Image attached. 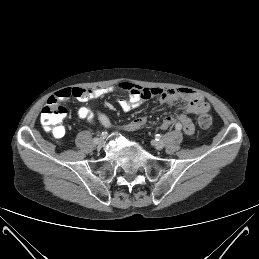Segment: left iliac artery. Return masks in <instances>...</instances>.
Returning <instances> with one entry per match:
<instances>
[{
	"label": "left iliac artery",
	"mask_w": 259,
	"mask_h": 259,
	"mask_svg": "<svg viewBox=\"0 0 259 259\" xmlns=\"http://www.w3.org/2000/svg\"><path fill=\"white\" fill-rule=\"evenodd\" d=\"M175 128H176L177 130H180V129H181V125L178 123V124H176Z\"/></svg>",
	"instance_id": "left-iliac-artery-1"
}]
</instances>
